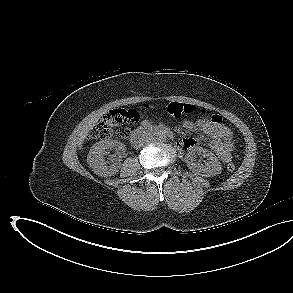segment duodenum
I'll return each mask as SVG.
<instances>
[{
    "instance_id": "duodenum-1",
    "label": "duodenum",
    "mask_w": 293,
    "mask_h": 293,
    "mask_svg": "<svg viewBox=\"0 0 293 293\" xmlns=\"http://www.w3.org/2000/svg\"><path fill=\"white\" fill-rule=\"evenodd\" d=\"M150 135L171 137L172 133L169 130L162 127H152L149 125H145L135 130L132 133L130 140L132 145L139 146L143 142V140Z\"/></svg>"
}]
</instances>
